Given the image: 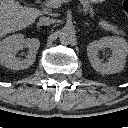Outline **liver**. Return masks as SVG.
Segmentation results:
<instances>
[{
  "label": "liver",
  "mask_w": 128,
  "mask_h": 128,
  "mask_svg": "<svg viewBox=\"0 0 128 128\" xmlns=\"http://www.w3.org/2000/svg\"><path fill=\"white\" fill-rule=\"evenodd\" d=\"M41 11L22 6L15 0H0V39L11 32L33 24Z\"/></svg>",
  "instance_id": "obj_1"
}]
</instances>
